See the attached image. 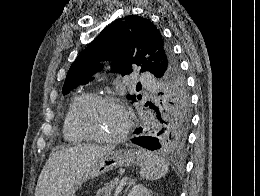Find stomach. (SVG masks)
I'll use <instances>...</instances> for the list:
<instances>
[{
  "label": "stomach",
  "mask_w": 260,
  "mask_h": 196,
  "mask_svg": "<svg viewBox=\"0 0 260 196\" xmlns=\"http://www.w3.org/2000/svg\"><path fill=\"white\" fill-rule=\"evenodd\" d=\"M113 150H108L105 156L96 160L95 166L88 170L87 174H84L82 178L77 180L76 184L72 186V190L69 192L58 193L57 196H76L75 192H77L78 188L87 182V180H91V178H98V176H102L105 172H110V170H115V168H125V166H133L136 164V160L138 158V152L133 150V148H120V150H115L114 146H112ZM46 196H53L52 193H47Z\"/></svg>",
  "instance_id": "stomach-1"
}]
</instances>
